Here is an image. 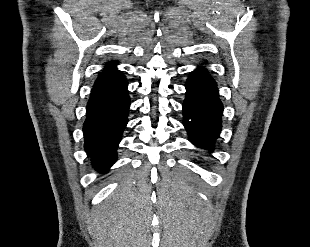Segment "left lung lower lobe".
I'll return each instance as SVG.
<instances>
[{"mask_svg": "<svg viewBox=\"0 0 310 247\" xmlns=\"http://www.w3.org/2000/svg\"><path fill=\"white\" fill-rule=\"evenodd\" d=\"M183 125L193 144L212 149L221 131L223 105L215 80L204 68L193 71L186 84Z\"/></svg>", "mask_w": 310, "mask_h": 247, "instance_id": "obj_1", "label": "left lung lower lobe"}]
</instances>
